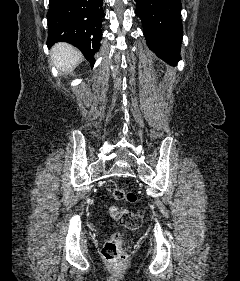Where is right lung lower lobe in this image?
I'll use <instances>...</instances> for the list:
<instances>
[{"label":"right lung lower lobe","mask_w":240,"mask_h":281,"mask_svg":"<svg viewBox=\"0 0 240 281\" xmlns=\"http://www.w3.org/2000/svg\"><path fill=\"white\" fill-rule=\"evenodd\" d=\"M102 3L103 0H49L47 45L68 42L91 59L93 65L102 38Z\"/></svg>","instance_id":"obj_1"}]
</instances>
